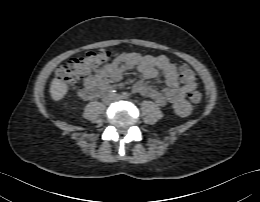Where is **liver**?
Returning a JSON list of instances; mask_svg holds the SVG:
<instances>
[{"label":"liver","mask_w":260,"mask_h":202,"mask_svg":"<svg viewBox=\"0 0 260 202\" xmlns=\"http://www.w3.org/2000/svg\"><path fill=\"white\" fill-rule=\"evenodd\" d=\"M68 85L58 78H54L50 87V94L53 100L59 101L64 98L68 92Z\"/></svg>","instance_id":"obj_1"}]
</instances>
